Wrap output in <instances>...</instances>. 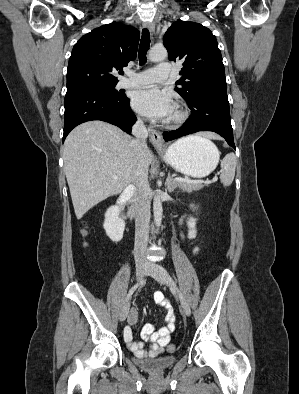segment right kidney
<instances>
[{
    "label": "right kidney",
    "instance_id": "obj_1",
    "mask_svg": "<svg viewBox=\"0 0 299 394\" xmlns=\"http://www.w3.org/2000/svg\"><path fill=\"white\" fill-rule=\"evenodd\" d=\"M119 214L120 208L118 206L109 207L105 213L103 224L106 235L116 243L122 240L125 230V222L119 217Z\"/></svg>",
    "mask_w": 299,
    "mask_h": 394
}]
</instances>
